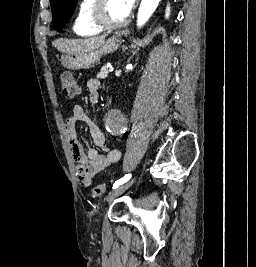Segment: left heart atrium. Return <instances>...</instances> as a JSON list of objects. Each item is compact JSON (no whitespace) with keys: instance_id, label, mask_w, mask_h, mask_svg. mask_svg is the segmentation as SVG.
I'll return each instance as SVG.
<instances>
[{"instance_id":"1","label":"left heart atrium","mask_w":256,"mask_h":267,"mask_svg":"<svg viewBox=\"0 0 256 267\" xmlns=\"http://www.w3.org/2000/svg\"><path fill=\"white\" fill-rule=\"evenodd\" d=\"M114 1L117 3L118 7L120 8L125 18L122 24L120 25V27H123L127 24L129 20V17L133 11L136 0H114Z\"/></svg>"}]
</instances>
